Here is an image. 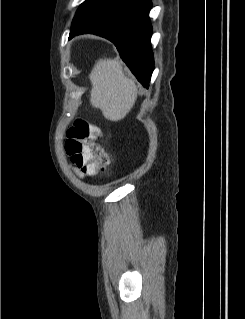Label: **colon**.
Segmentation results:
<instances>
[{
    "instance_id": "1",
    "label": "colon",
    "mask_w": 245,
    "mask_h": 319,
    "mask_svg": "<svg viewBox=\"0 0 245 319\" xmlns=\"http://www.w3.org/2000/svg\"><path fill=\"white\" fill-rule=\"evenodd\" d=\"M99 137L100 130L84 119L76 120L67 132L66 151L71 162L90 176L106 172L111 163Z\"/></svg>"
}]
</instances>
